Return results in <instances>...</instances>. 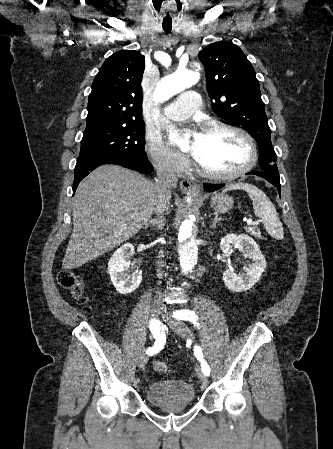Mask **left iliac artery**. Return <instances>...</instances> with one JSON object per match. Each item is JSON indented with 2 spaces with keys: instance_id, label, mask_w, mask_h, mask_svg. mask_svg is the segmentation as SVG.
<instances>
[{
  "instance_id": "44dca946",
  "label": "left iliac artery",
  "mask_w": 333,
  "mask_h": 449,
  "mask_svg": "<svg viewBox=\"0 0 333 449\" xmlns=\"http://www.w3.org/2000/svg\"><path fill=\"white\" fill-rule=\"evenodd\" d=\"M174 317H176L177 319L193 321L198 326V324L196 323V315L193 311H189V310L176 311V312H174ZM194 354H195L196 358L201 363L202 372L206 376H209L210 367H209L208 363L205 361V359L203 357L202 349L199 346H195Z\"/></svg>"
}]
</instances>
